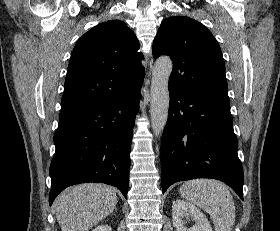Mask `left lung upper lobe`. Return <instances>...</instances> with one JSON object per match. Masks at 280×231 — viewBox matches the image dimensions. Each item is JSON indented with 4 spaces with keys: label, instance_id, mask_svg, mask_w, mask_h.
<instances>
[{
    "label": "left lung upper lobe",
    "instance_id": "1",
    "mask_svg": "<svg viewBox=\"0 0 280 231\" xmlns=\"http://www.w3.org/2000/svg\"><path fill=\"white\" fill-rule=\"evenodd\" d=\"M173 61L169 87L229 101L222 52L211 32L198 21L173 16L162 21L153 42V56Z\"/></svg>",
    "mask_w": 280,
    "mask_h": 231
}]
</instances>
